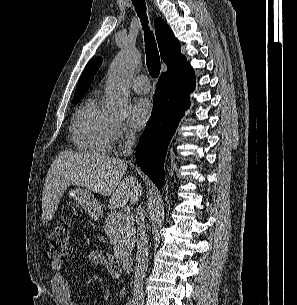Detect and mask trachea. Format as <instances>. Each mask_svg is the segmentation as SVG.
Returning <instances> with one entry per match:
<instances>
[{
    "label": "trachea",
    "instance_id": "obj_1",
    "mask_svg": "<svg viewBox=\"0 0 297 305\" xmlns=\"http://www.w3.org/2000/svg\"><path fill=\"white\" fill-rule=\"evenodd\" d=\"M135 10L142 22L144 35H145V51H146V64L148 67L149 74L152 78H157L160 74V57L157 49V45L149 30L148 19L146 16V5L144 0H132Z\"/></svg>",
    "mask_w": 297,
    "mask_h": 305
}]
</instances>
